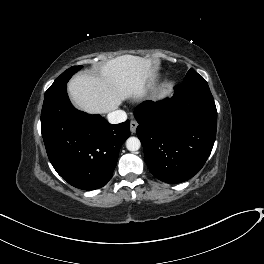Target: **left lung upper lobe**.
Segmentation results:
<instances>
[{"label": "left lung upper lobe", "instance_id": "5c2ea615", "mask_svg": "<svg viewBox=\"0 0 264 264\" xmlns=\"http://www.w3.org/2000/svg\"><path fill=\"white\" fill-rule=\"evenodd\" d=\"M183 82H205V79L200 76L193 68H191Z\"/></svg>", "mask_w": 264, "mask_h": 264}]
</instances>
